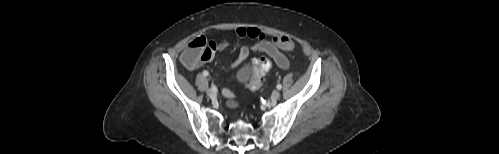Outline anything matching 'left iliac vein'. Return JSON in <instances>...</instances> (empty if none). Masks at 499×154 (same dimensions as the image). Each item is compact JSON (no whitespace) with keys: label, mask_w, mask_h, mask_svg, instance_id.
Instances as JSON below:
<instances>
[{"label":"left iliac vein","mask_w":499,"mask_h":154,"mask_svg":"<svg viewBox=\"0 0 499 154\" xmlns=\"http://www.w3.org/2000/svg\"><path fill=\"white\" fill-rule=\"evenodd\" d=\"M279 97H280V92L278 90H274L271 94V99L275 101L278 100Z\"/></svg>","instance_id":"obj_1"}]
</instances>
